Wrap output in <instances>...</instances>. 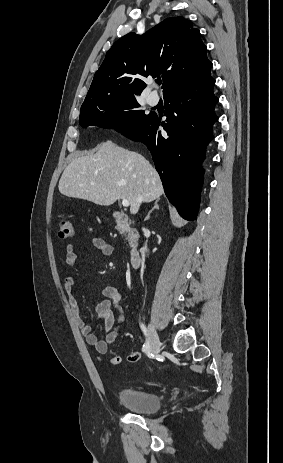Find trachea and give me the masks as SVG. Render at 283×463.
<instances>
[{
  "mask_svg": "<svg viewBox=\"0 0 283 463\" xmlns=\"http://www.w3.org/2000/svg\"><path fill=\"white\" fill-rule=\"evenodd\" d=\"M157 83H158L159 85H161V81H157Z\"/></svg>",
  "mask_w": 283,
  "mask_h": 463,
  "instance_id": "obj_1",
  "label": "trachea"
}]
</instances>
